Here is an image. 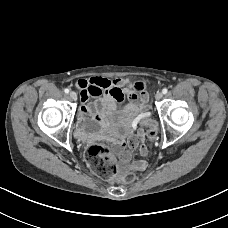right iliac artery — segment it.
<instances>
[{
	"label": "right iliac artery",
	"mask_w": 228,
	"mask_h": 228,
	"mask_svg": "<svg viewBox=\"0 0 228 228\" xmlns=\"http://www.w3.org/2000/svg\"><path fill=\"white\" fill-rule=\"evenodd\" d=\"M64 92L68 94V93H69V89L66 88V89L64 90Z\"/></svg>",
	"instance_id": "obj_1"
}]
</instances>
